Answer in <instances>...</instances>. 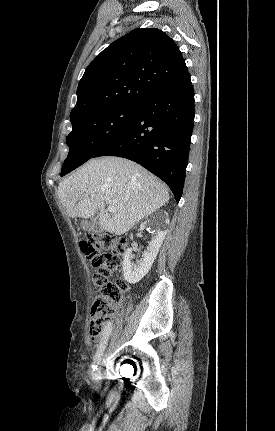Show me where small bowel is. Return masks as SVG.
<instances>
[{
    "instance_id": "c3829d8e",
    "label": "small bowel",
    "mask_w": 275,
    "mask_h": 431,
    "mask_svg": "<svg viewBox=\"0 0 275 431\" xmlns=\"http://www.w3.org/2000/svg\"><path fill=\"white\" fill-rule=\"evenodd\" d=\"M100 340V336L99 337H95V338H93V341H95V342H97V341H99Z\"/></svg>"
}]
</instances>
